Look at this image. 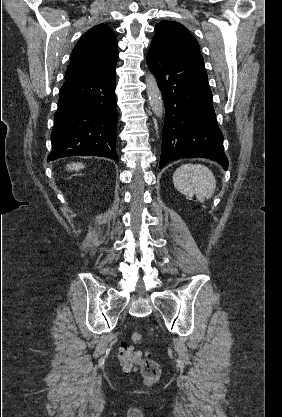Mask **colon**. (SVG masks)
Here are the masks:
<instances>
[{"instance_id":"5ec220e1","label":"colon","mask_w":282,"mask_h":417,"mask_svg":"<svg viewBox=\"0 0 282 417\" xmlns=\"http://www.w3.org/2000/svg\"><path fill=\"white\" fill-rule=\"evenodd\" d=\"M131 339L139 346L143 344V336L138 331H133L131 333ZM132 347L133 346L127 343H122L118 352L119 363L122 366L123 371L126 373L135 371V368L137 367L135 366L134 360L138 357V350H132ZM143 363L144 366L141 367L142 371L139 372L142 375L143 380L146 382H154L158 380L161 376L160 364L155 361H143ZM145 363H148V366L145 365Z\"/></svg>"}]
</instances>
